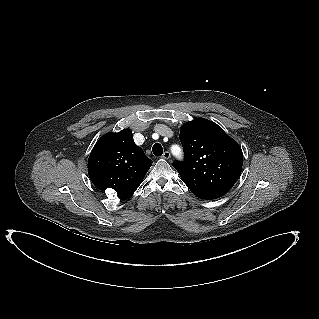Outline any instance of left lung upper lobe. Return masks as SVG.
Wrapping results in <instances>:
<instances>
[{
  "instance_id": "5c2ea615",
  "label": "left lung upper lobe",
  "mask_w": 319,
  "mask_h": 319,
  "mask_svg": "<svg viewBox=\"0 0 319 319\" xmlns=\"http://www.w3.org/2000/svg\"><path fill=\"white\" fill-rule=\"evenodd\" d=\"M184 161L173 167L194 195L212 200L225 195L240 177L243 153L236 141L214 122L198 118L180 130Z\"/></svg>"
}]
</instances>
